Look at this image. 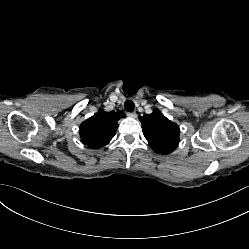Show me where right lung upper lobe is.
<instances>
[{"label":"right lung upper lobe","mask_w":249,"mask_h":249,"mask_svg":"<svg viewBox=\"0 0 249 249\" xmlns=\"http://www.w3.org/2000/svg\"><path fill=\"white\" fill-rule=\"evenodd\" d=\"M124 117L122 111H98L81 123L79 127L81 142L93 149L107 145L116 134L118 120Z\"/></svg>","instance_id":"1"}]
</instances>
